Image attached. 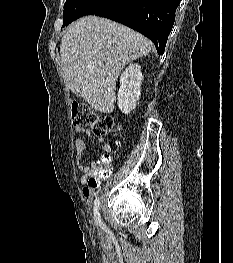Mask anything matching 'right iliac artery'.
Listing matches in <instances>:
<instances>
[{"instance_id":"obj_1","label":"right iliac artery","mask_w":233,"mask_h":263,"mask_svg":"<svg viewBox=\"0 0 233 263\" xmlns=\"http://www.w3.org/2000/svg\"><path fill=\"white\" fill-rule=\"evenodd\" d=\"M94 220L97 226H101V217H100V201L99 198L97 197L94 201Z\"/></svg>"}]
</instances>
